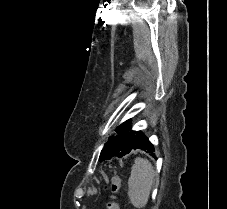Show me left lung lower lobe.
<instances>
[{
	"instance_id": "1",
	"label": "left lung lower lobe",
	"mask_w": 227,
	"mask_h": 209,
	"mask_svg": "<svg viewBox=\"0 0 227 209\" xmlns=\"http://www.w3.org/2000/svg\"><path fill=\"white\" fill-rule=\"evenodd\" d=\"M133 149L145 150L148 153H150L152 156H154V154H153V152H154V146L144 136V134L141 131L137 132L136 138H135L133 144L131 145L130 149L124 155L128 154Z\"/></svg>"
}]
</instances>
